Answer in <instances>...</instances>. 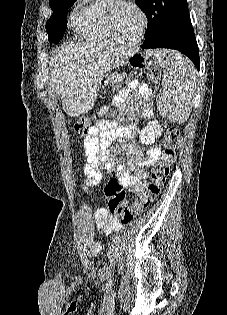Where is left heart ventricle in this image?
<instances>
[{"instance_id": "obj_1", "label": "left heart ventricle", "mask_w": 227, "mask_h": 315, "mask_svg": "<svg viewBox=\"0 0 227 315\" xmlns=\"http://www.w3.org/2000/svg\"><path fill=\"white\" fill-rule=\"evenodd\" d=\"M142 20L138 12L129 5H121L114 17V29L117 38L130 42L137 38Z\"/></svg>"}]
</instances>
